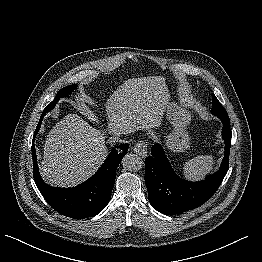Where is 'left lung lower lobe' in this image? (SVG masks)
I'll return each instance as SVG.
<instances>
[{
    "label": "left lung lower lobe",
    "mask_w": 262,
    "mask_h": 262,
    "mask_svg": "<svg viewBox=\"0 0 262 262\" xmlns=\"http://www.w3.org/2000/svg\"><path fill=\"white\" fill-rule=\"evenodd\" d=\"M222 120L225 141L224 158L220 169L205 180L190 182L180 178L172 169L163 147L154 144L152 156L145 159V183L151 205L164 214H179L204 204L216 192L229 168L232 132L228 114L216 115Z\"/></svg>",
    "instance_id": "1"
}]
</instances>
